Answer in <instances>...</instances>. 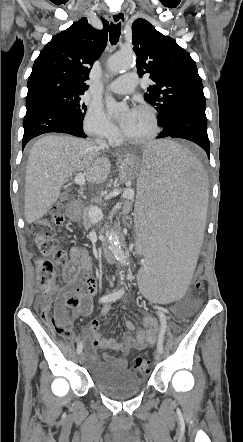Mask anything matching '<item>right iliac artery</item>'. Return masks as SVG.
<instances>
[{
  "label": "right iliac artery",
  "instance_id": "82829eb1",
  "mask_svg": "<svg viewBox=\"0 0 243 442\" xmlns=\"http://www.w3.org/2000/svg\"><path fill=\"white\" fill-rule=\"evenodd\" d=\"M124 288H120L119 290H116L108 295H104L100 298V302L108 303V302H114L118 299H120L124 294ZM83 350V345L81 342H79L77 346V353L80 354Z\"/></svg>",
  "mask_w": 243,
  "mask_h": 442
}]
</instances>
